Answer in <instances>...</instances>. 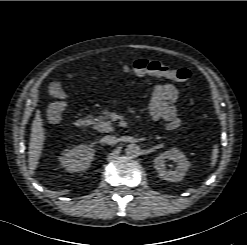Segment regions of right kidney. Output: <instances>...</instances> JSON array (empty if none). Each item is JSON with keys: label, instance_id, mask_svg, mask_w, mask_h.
Instances as JSON below:
<instances>
[{"label": "right kidney", "instance_id": "obj_1", "mask_svg": "<svg viewBox=\"0 0 247 245\" xmlns=\"http://www.w3.org/2000/svg\"><path fill=\"white\" fill-rule=\"evenodd\" d=\"M94 149L87 145H77L60 157V162L68 172H79L89 168L93 157Z\"/></svg>", "mask_w": 247, "mask_h": 245}]
</instances>
